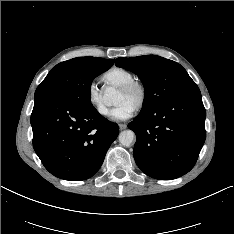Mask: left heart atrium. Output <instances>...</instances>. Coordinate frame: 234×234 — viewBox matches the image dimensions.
Returning <instances> with one entry per match:
<instances>
[{
    "label": "left heart atrium",
    "mask_w": 234,
    "mask_h": 234,
    "mask_svg": "<svg viewBox=\"0 0 234 234\" xmlns=\"http://www.w3.org/2000/svg\"><path fill=\"white\" fill-rule=\"evenodd\" d=\"M135 108L128 103H120L110 111V117L115 121H124L133 116Z\"/></svg>",
    "instance_id": "obj_1"
}]
</instances>
